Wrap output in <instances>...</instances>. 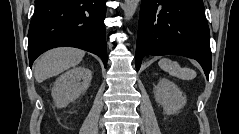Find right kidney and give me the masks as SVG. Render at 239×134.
<instances>
[{"mask_svg": "<svg viewBox=\"0 0 239 134\" xmlns=\"http://www.w3.org/2000/svg\"><path fill=\"white\" fill-rule=\"evenodd\" d=\"M91 79L92 72L85 67H74L59 76L52 88L55 105L65 107L77 99L88 89Z\"/></svg>", "mask_w": 239, "mask_h": 134, "instance_id": "ca27d5eb", "label": "right kidney"}]
</instances>
